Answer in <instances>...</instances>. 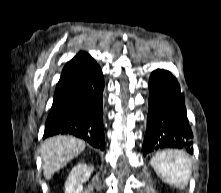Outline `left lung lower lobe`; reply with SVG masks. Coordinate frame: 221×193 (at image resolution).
Here are the masks:
<instances>
[{
    "instance_id": "1",
    "label": "left lung lower lobe",
    "mask_w": 221,
    "mask_h": 193,
    "mask_svg": "<svg viewBox=\"0 0 221 193\" xmlns=\"http://www.w3.org/2000/svg\"><path fill=\"white\" fill-rule=\"evenodd\" d=\"M168 111L172 124L164 112ZM193 133L186 115L184 95L176 78L166 70L157 69L149 80V111L143 153L162 148H179L193 153Z\"/></svg>"
}]
</instances>
